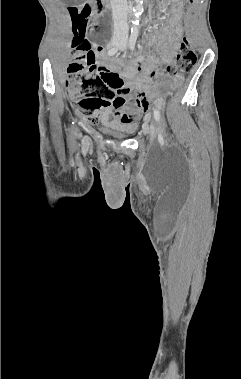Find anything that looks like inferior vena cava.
Here are the masks:
<instances>
[{
	"label": "inferior vena cava",
	"instance_id": "1",
	"mask_svg": "<svg viewBox=\"0 0 241 379\" xmlns=\"http://www.w3.org/2000/svg\"><path fill=\"white\" fill-rule=\"evenodd\" d=\"M114 21V38H128L127 0H110Z\"/></svg>",
	"mask_w": 241,
	"mask_h": 379
}]
</instances>
